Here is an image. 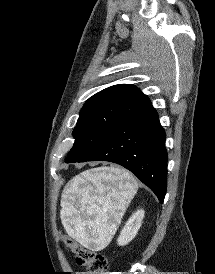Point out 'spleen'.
<instances>
[{
  "instance_id": "obj_1",
  "label": "spleen",
  "mask_w": 215,
  "mask_h": 274,
  "mask_svg": "<svg viewBox=\"0 0 215 274\" xmlns=\"http://www.w3.org/2000/svg\"><path fill=\"white\" fill-rule=\"evenodd\" d=\"M138 189L136 179L119 168H96L73 177L64 188L61 220L83 245L104 246Z\"/></svg>"
}]
</instances>
